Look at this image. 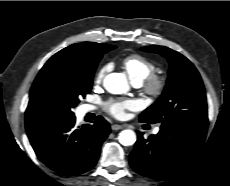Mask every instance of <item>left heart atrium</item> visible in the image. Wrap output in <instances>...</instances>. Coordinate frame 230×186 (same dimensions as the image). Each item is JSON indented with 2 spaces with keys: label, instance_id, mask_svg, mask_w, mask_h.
I'll list each match as a JSON object with an SVG mask.
<instances>
[{
  "label": "left heart atrium",
  "instance_id": "39dd6f15",
  "mask_svg": "<svg viewBox=\"0 0 230 186\" xmlns=\"http://www.w3.org/2000/svg\"><path fill=\"white\" fill-rule=\"evenodd\" d=\"M136 108V102L131 100L111 101L107 106L109 113L116 118H123L125 117L127 110H134Z\"/></svg>",
  "mask_w": 230,
  "mask_h": 186
}]
</instances>
